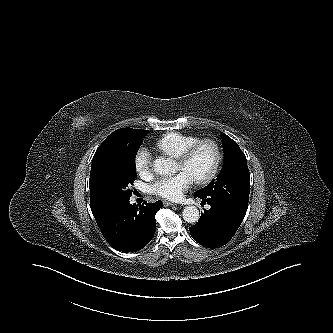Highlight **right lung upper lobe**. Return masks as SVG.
I'll return each instance as SVG.
<instances>
[{
  "mask_svg": "<svg viewBox=\"0 0 333 333\" xmlns=\"http://www.w3.org/2000/svg\"><path fill=\"white\" fill-rule=\"evenodd\" d=\"M145 131L147 130L132 129V128L117 129L116 131L111 133L96 150L91 165V173L89 180V188L91 194L90 207L94 218L110 205L104 200L97 185L96 170L99 162L108 151L118 146L120 143L134 136L142 134Z\"/></svg>",
  "mask_w": 333,
  "mask_h": 333,
  "instance_id": "cb5924a9",
  "label": "right lung upper lobe"
}]
</instances>
